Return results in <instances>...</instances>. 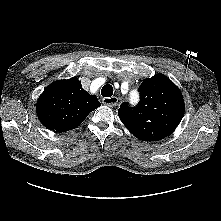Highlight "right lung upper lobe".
<instances>
[{
  "label": "right lung upper lobe",
  "instance_id": "right-lung-upper-lobe-1",
  "mask_svg": "<svg viewBox=\"0 0 221 221\" xmlns=\"http://www.w3.org/2000/svg\"><path fill=\"white\" fill-rule=\"evenodd\" d=\"M100 105L97 97L83 90L73 77L54 82L44 90L37 103V115L46 128L61 133L78 127Z\"/></svg>",
  "mask_w": 221,
  "mask_h": 221
}]
</instances>
